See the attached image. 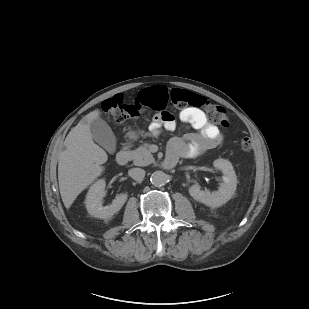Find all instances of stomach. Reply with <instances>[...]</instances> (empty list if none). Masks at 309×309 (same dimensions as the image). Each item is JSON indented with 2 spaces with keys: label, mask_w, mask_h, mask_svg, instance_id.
Returning a JSON list of instances; mask_svg holds the SVG:
<instances>
[{
  "label": "stomach",
  "mask_w": 309,
  "mask_h": 309,
  "mask_svg": "<svg viewBox=\"0 0 309 309\" xmlns=\"http://www.w3.org/2000/svg\"><path fill=\"white\" fill-rule=\"evenodd\" d=\"M131 137H136V134L134 133V132H130V134H129Z\"/></svg>",
  "instance_id": "obj_1"
}]
</instances>
